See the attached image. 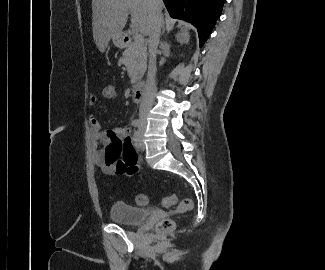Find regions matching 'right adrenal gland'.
Instances as JSON below:
<instances>
[{"label":"right adrenal gland","mask_w":325,"mask_h":270,"mask_svg":"<svg viewBox=\"0 0 325 270\" xmlns=\"http://www.w3.org/2000/svg\"><path fill=\"white\" fill-rule=\"evenodd\" d=\"M162 33H164L165 32V25H164V21H162Z\"/></svg>","instance_id":"1"}]
</instances>
